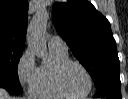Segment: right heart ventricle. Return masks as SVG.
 Here are the masks:
<instances>
[{"instance_id":"1","label":"right heart ventricle","mask_w":128,"mask_h":99,"mask_svg":"<svg viewBox=\"0 0 128 99\" xmlns=\"http://www.w3.org/2000/svg\"><path fill=\"white\" fill-rule=\"evenodd\" d=\"M67 52L49 49V60L37 68L34 81L31 86V94L38 99H65L57 88L55 81L56 69L60 64L68 60Z\"/></svg>"}]
</instances>
